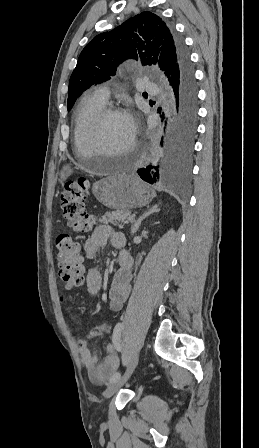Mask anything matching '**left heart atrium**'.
<instances>
[{"label": "left heart atrium", "instance_id": "39dd6f15", "mask_svg": "<svg viewBox=\"0 0 259 448\" xmlns=\"http://www.w3.org/2000/svg\"><path fill=\"white\" fill-rule=\"evenodd\" d=\"M124 119L127 122L128 126L130 127L131 131L135 132L136 126H135V122L134 119L132 117V115L130 114L129 111H126V113L124 114Z\"/></svg>", "mask_w": 259, "mask_h": 448}]
</instances>
